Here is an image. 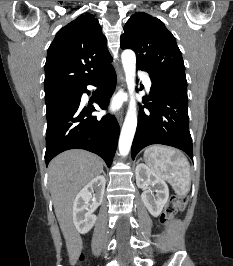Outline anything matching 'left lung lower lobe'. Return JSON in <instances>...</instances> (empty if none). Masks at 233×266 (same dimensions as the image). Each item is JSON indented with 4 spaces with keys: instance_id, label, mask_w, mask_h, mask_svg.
<instances>
[{
    "instance_id": "0a47b994",
    "label": "left lung lower lobe",
    "mask_w": 233,
    "mask_h": 266,
    "mask_svg": "<svg viewBox=\"0 0 233 266\" xmlns=\"http://www.w3.org/2000/svg\"><path fill=\"white\" fill-rule=\"evenodd\" d=\"M150 78V97H143L144 106L139 110L132 159L148 145L163 144L183 150L193 160L186 76L173 74Z\"/></svg>"
}]
</instances>
